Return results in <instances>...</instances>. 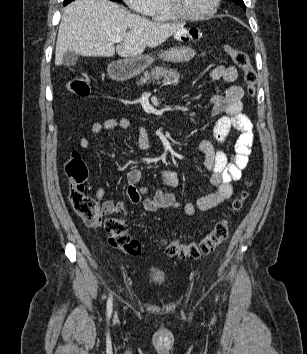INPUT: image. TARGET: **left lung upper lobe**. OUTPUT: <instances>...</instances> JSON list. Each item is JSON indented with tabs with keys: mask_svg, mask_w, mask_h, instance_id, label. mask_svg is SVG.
<instances>
[{
	"mask_svg": "<svg viewBox=\"0 0 307 354\" xmlns=\"http://www.w3.org/2000/svg\"><path fill=\"white\" fill-rule=\"evenodd\" d=\"M233 2H235L238 5H241L244 9H246V6H245L243 0H233Z\"/></svg>",
	"mask_w": 307,
	"mask_h": 354,
	"instance_id": "1",
	"label": "left lung upper lobe"
}]
</instances>
